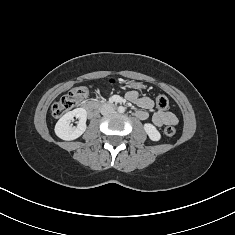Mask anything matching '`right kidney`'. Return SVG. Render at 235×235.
Returning <instances> with one entry per match:
<instances>
[{"instance_id":"1","label":"right kidney","mask_w":235,"mask_h":235,"mask_svg":"<svg viewBox=\"0 0 235 235\" xmlns=\"http://www.w3.org/2000/svg\"><path fill=\"white\" fill-rule=\"evenodd\" d=\"M74 117L78 118L77 126L70 125ZM87 112L84 108H76L64 114L55 125V134L66 141L80 137L86 130Z\"/></svg>"}]
</instances>
